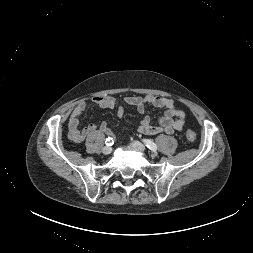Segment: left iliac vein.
Instances as JSON below:
<instances>
[{
  "mask_svg": "<svg viewBox=\"0 0 253 253\" xmlns=\"http://www.w3.org/2000/svg\"><path fill=\"white\" fill-rule=\"evenodd\" d=\"M130 145L134 150H136L138 152L143 153L146 150L145 146L142 143L138 142V141H134Z\"/></svg>",
  "mask_w": 253,
  "mask_h": 253,
  "instance_id": "4c4485c4",
  "label": "left iliac vein"
}]
</instances>
